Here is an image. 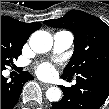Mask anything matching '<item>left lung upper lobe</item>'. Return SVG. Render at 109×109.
I'll return each instance as SVG.
<instances>
[{
  "label": "left lung upper lobe",
  "mask_w": 109,
  "mask_h": 109,
  "mask_svg": "<svg viewBox=\"0 0 109 109\" xmlns=\"http://www.w3.org/2000/svg\"><path fill=\"white\" fill-rule=\"evenodd\" d=\"M44 23L69 29L75 36V50L63 77L78 76L94 68L109 70V26L102 20L83 11L71 10L62 18Z\"/></svg>",
  "instance_id": "left-lung-upper-lobe-1"
}]
</instances>
